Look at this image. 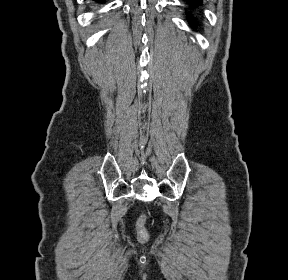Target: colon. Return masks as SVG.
I'll return each mask as SVG.
<instances>
[{
    "label": "colon",
    "mask_w": 288,
    "mask_h": 280,
    "mask_svg": "<svg viewBox=\"0 0 288 280\" xmlns=\"http://www.w3.org/2000/svg\"><path fill=\"white\" fill-rule=\"evenodd\" d=\"M146 220H147V215L143 214L137 222V233L140 239L144 240L148 237V233L145 227L146 224Z\"/></svg>",
    "instance_id": "1"
}]
</instances>
